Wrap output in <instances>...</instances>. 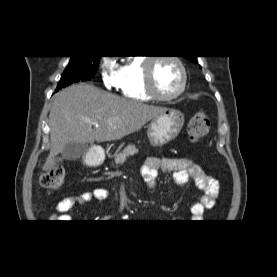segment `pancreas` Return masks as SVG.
<instances>
[{
    "mask_svg": "<svg viewBox=\"0 0 277 277\" xmlns=\"http://www.w3.org/2000/svg\"><path fill=\"white\" fill-rule=\"evenodd\" d=\"M136 153H138V149L135 145H128L122 152L115 155L114 161L116 167L122 165L129 156H133Z\"/></svg>",
    "mask_w": 277,
    "mask_h": 277,
    "instance_id": "pancreas-1",
    "label": "pancreas"
}]
</instances>
